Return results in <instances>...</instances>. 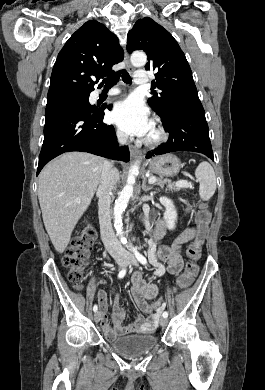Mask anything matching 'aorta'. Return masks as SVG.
<instances>
[{
	"label": "aorta",
	"mask_w": 265,
	"mask_h": 390,
	"mask_svg": "<svg viewBox=\"0 0 265 390\" xmlns=\"http://www.w3.org/2000/svg\"><path fill=\"white\" fill-rule=\"evenodd\" d=\"M130 61L134 67H142L147 62V56L143 52H134L131 55ZM139 167L136 164H134L128 174L127 182L122 191L120 192V195L115 201L114 205V227L117 232V235L120 238V241L125 244L127 243L126 238L124 237L123 232V222H122V214L125 211L127 204L129 202V199L133 195V189L135 184V175L138 174Z\"/></svg>",
	"instance_id": "1"
}]
</instances>
